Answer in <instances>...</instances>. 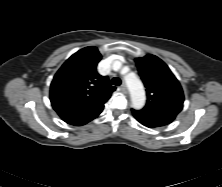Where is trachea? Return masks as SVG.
Here are the masks:
<instances>
[{
    "label": "trachea",
    "mask_w": 222,
    "mask_h": 187,
    "mask_svg": "<svg viewBox=\"0 0 222 187\" xmlns=\"http://www.w3.org/2000/svg\"><path fill=\"white\" fill-rule=\"evenodd\" d=\"M111 83L115 86H119L121 84V79L118 78V77H114L112 80H111Z\"/></svg>",
    "instance_id": "3493384b"
}]
</instances>
